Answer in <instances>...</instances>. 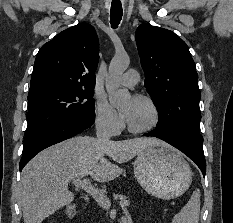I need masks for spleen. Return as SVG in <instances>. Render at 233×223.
Segmentation results:
<instances>
[{
  "mask_svg": "<svg viewBox=\"0 0 233 223\" xmlns=\"http://www.w3.org/2000/svg\"><path fill=\"white\" fill-rule=\"evenodd\" d=\"M200 189L193 191L188 203L177 213L175 223H198L200 213Z\"/></svg>",
  "mask_w": 233,
  "mask_h": 223,
  "instance_id": "3e777b00",
  "label": "spleen"
}]
</instances>
